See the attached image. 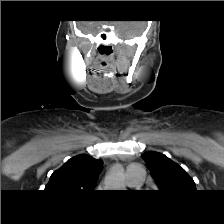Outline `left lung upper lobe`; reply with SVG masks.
I'll return each instance as SVG.
<instances>
[{"label":"left lung upper lobe","mask_w":224,"mask_h":224,"mask_svg":"<svg viewBox=\"0 0 224 224\" xmlns=\"http://www.w3.org/2000/svg\"><path fill=\"white\" fill-rule=\"evenodd\" d=\"M160 192L177 195L185 192H196L193 179L177 163L161 153L148 151L142 154Z\"/></svg>","instance_id":"1"}]
</instances>
